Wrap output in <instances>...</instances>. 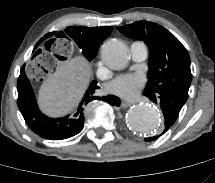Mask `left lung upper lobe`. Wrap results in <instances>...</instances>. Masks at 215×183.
I'll list each match as a JSON object with an SVG mask.
<instances>
[{"instance_id":"5c2ea615","label":"left lung upper lobe","mask_w":215,"mask_h":183,"mask_svg":"<svg viewBox=\"0 0 215 183\" xmlns=\"http://www.w3.org/2000/svg\"><path fill=\"white\" fill-rule=\"evenodd\" d=\"M118 30L128 38L144 41L149 48L144 94L169 91L187 100L192 75L189 54L182 43L164 27L152 22L138 21Z\"/></svg>"}]
</instances>
